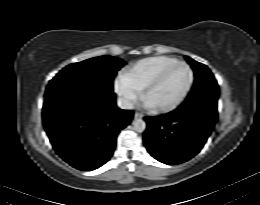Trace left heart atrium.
<instances>
[{
  "instance_id": "1",
  "label": "left heart atrium",
  "mask_w": 260,
  "mask_h": 205,
  "mask_svg": "<svg viewBox=\"0 0 260 205\" xmlns=\"http://www.w3.org/2000/svg\"><path fill=\"white\" fill-rule=\"evenodd\" d=\"M146 104H147V106H149V107H153V105L150 104L149 102H147Z\"/></svg>"
}]
</instances>
